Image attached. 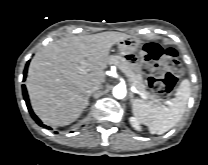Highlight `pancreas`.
<instances>
[{
  "instance_id": "obj_1",
  "label": "pancreas",
  "mask_w": 208,
  "mask_h": 165,
  "mask_svg": "<svg viewBox=\"0 0 208 165\" xmlns=\"http://www.w3.org/2000/svg\"><path fill=\"white\" fill-rule=\"evenodd\" d=\"M110 64H116L128 79L136 86L141 92L142 96L150 99L152 102L161 103V99L156 98L155 95L146 91V85L142 75L138 72L136 66L121 56H111L109 59Z\"/></svg>"
}]
</instances>
